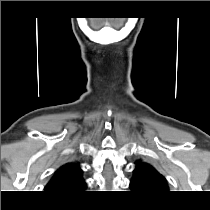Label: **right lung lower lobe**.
<instances>
[{
	"mask_svg": "<svg viewBox=\"0 0 210 210\" xmlns=\"http://www.w3.org/2000/svg\"><path fill=\"white\" fill-rule=\"evenodd\" d=\"M77 197H78V195H76V196H68V197H59V198H62V199H65V200H71V199H75Z\"/></svg>",
	"mask_w": 210,
	"mask_h": 210,
	"instance_id": "98d812e1",
	"label": "right lung lower lobe"
}]
</instances>
